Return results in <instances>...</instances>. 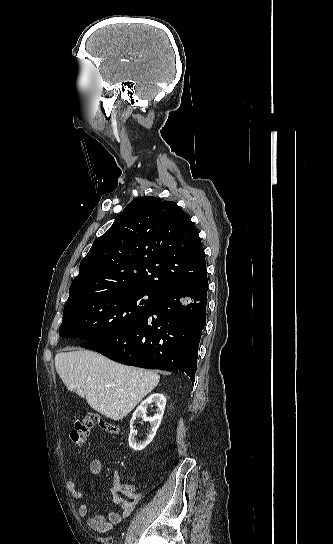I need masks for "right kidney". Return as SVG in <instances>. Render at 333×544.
Listing matches in <instances>:
<instances>
[{
  "instance_id": "1",
  "label": "right kidney",
  "mask_w": 333,
  "mask_h": 544,
  "mask_svg": "<svg viewBox=\"0 0 333 544\" xmlns=\"http://www.w3.org/2000/svg\"><path fill=\"white\" fill-rule=\"evenodd\" d=\"M153 403L157 406V413L153 417L148 418L146 416L147 408L150 404H153ZM165 406H166V398L164 397V395L160 393H153L147 399L141 402L138 408L134 411L132 420L130 423L131 430H130L128 441H129V446L133 448L135 451H140L144 449L153 440L156 434V431L159 428V425L161 423ZM136 418H142L144 421L150 422L151 429L144 442H137L135 438L136 432L133 429V422Z\"/></svg>"
}]
</instances>
